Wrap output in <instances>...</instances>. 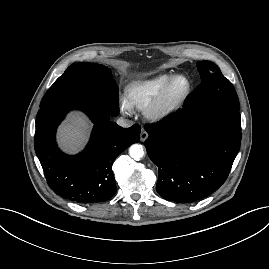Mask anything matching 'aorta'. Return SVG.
<instances>
[{
    "instance_id": "obj_1",
    "label": "aorta",
    "mask_w": 269,
    "mask_h": 269,
    "mask_svg": "<svg viewBox=\"0 0 269 269\" xmlns=\"http://www.w3.org/2000/svg\"><path fill=\"white\" fill-rule=\"evenodd\" d=\"M129 155L136 161H139L144 156V149L142 145L133 144L129 148Z\"/></svg>"
}]
</instances>
